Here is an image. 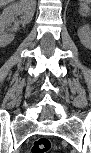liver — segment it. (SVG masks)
Returning a JSON list of instances; mask_svg holds the SVG:
<instances>
[{
	"instance_id": "1",
	"label": "liver",
	"mask_w": 91,
	"mask_h": 153,
	"mask_svg": "<svg viewBox=\"0 0 91 153\" xmlns=\"http://www.w3.org/2000/svg\"><path fill=\"white\" fill-rule=\"evenodd\" d=\"M10 0H1V5L8 3ZM34 2V1H32ZM35 3V2H34Z\"/></svg>"
}]
</instances>
